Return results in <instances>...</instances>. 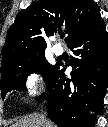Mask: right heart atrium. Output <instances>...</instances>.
<instances>
[{"mask_svg": "<svg viewBox=\"0 0 108 127\" xmlns=\"http://www.w3.org/2000/svg\"><path fill=\"white\" fill-rule=\"evenodd\" d=\"M45 80L37 71L29 72L24 79V88L27 96L38 95L44 89Z\"/></svg>", "mask_w": 108, "mask_h": 127, "instance_id": "right-heart-atrium-1", "label": "right heart atrium"}]
</instances>
